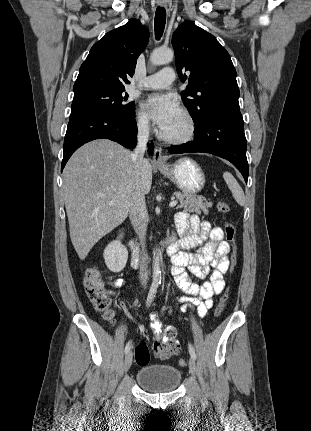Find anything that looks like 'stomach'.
<instances>
[{
	"label": "stomach",
	"instance_id": "stomach-1",
	"mask_svg": "<svg viewBox=\"0 0 311 431\" xmlns=\"http://www.w3.org/2000/svg\"><path fill=\"white\" fill-rule=\"evenodd\" d=\"M160 174L171 180L178 190L189 196H196L205 186V174L199 164L191 158H180L175 164L159 168Z\"/></svg>",
	"mask_w": 311,
	"mask_h": 431
}]
</instances>
